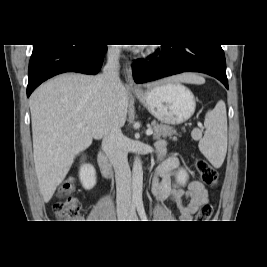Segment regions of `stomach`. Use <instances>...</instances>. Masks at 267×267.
Instances as JSON below:
<instances>
[{"instance_id":"0dacf381","label":"stomach","mask_w":267,"mask_h":267,"mask_svg":"<svg viewBox=\"0 0 267 267\" xmlns=\"http://www.w3.org/2000/svg\"><path fill=\"white\" fill-rule=\"evenodd\" d=\"M135 95L157 120L165 124H181L195 112V97L181 83L163 81Z\"/></svg>"}]
</instances>
